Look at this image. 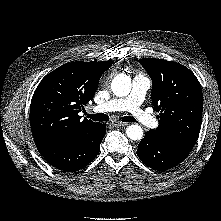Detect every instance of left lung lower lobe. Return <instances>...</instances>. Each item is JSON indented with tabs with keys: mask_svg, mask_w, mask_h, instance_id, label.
<instances>
[{
	"mask_svg": "<svg viewBox=\"0 0 221 221\" xmlns=\"http://www.w3.org/2000/svg\"><path fill=\"white\" fill-rule=\"evenodd\" d=\"M190 151L156 140L148 131L138 145L137 155L148 167L164 171L181 163Z\"/></svg>",
	"mask_w": 221,
	"mask_h": 221,
	"instance_id": "0a47b994",
	"label": "left lung lower lobe"
}]
</instances>
